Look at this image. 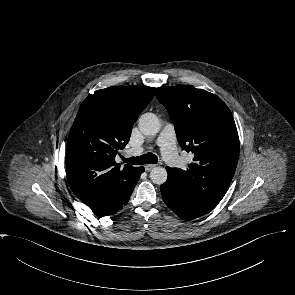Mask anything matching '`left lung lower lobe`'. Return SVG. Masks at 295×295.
<instances>
[{
    "label": "left lung lower lobe",
    "mask_w": 295,
    "mask_h": 295,
    "mask_svg": "<svg viewBox=\"0 0 295 295\" xmlns=\"http://www.w3.org/2000/svg\"><path fill=\"white\" fill-rule=\"evenodd\" d=\"M161 194L165 204L180 218L192 220L206 214L189 201L181 189L169 179L160 186Z\"/></svg>",
    "instance_id": "0a47b994"
}]
</instances>
